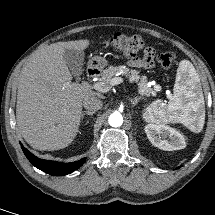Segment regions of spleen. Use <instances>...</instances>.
<instances>
[{
    "label": "spleen",
    "mask_w": 215,
    "mask_h": 215,
    "mask_svg": "<svg viewBox=\"0 0 215 215\" xmlns=\"http://www.w3.org/2000/svg\"><path fill=\"white\" fill-rule=\"evenodd\" d=\"M197 80L193 65L182 60L177 70L172 98L168 104L160 100L151 103L143 115L145 120L156 124L181 123L193 132H200L204 125L205 108Z\"/></svg>",
    "instance_id": "obj_1"
}]
</instances>
